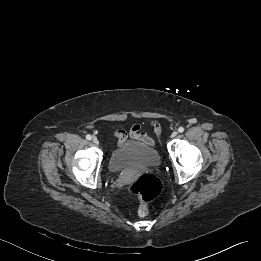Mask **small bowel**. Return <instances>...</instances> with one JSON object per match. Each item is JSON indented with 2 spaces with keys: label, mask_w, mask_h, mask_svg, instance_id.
Here are the masks:
<instances>
[{
  "label": "small bowel",
  "mask_w": 261,
  "mask_h": 261,
  "mask_svg": "<svg viewBox=\"0 0 261 261\" xmlns=\"http://www.w3.org/2000/svg\"><path fill=\"white\" fill-rule=\"evenodd\" d=\"M150 126L153 128L156 135H160L161 128L157 122L151 121ZM129 135L134 139H137L139 141H142V142L150 144V145H154V140L148 134H146L145 132H142L140 129V126L138 124H133L131 126ZM114 136L118 140L117 145L121 146L127 140L128 134L124 130H117V131H115Z\"/></svg>",
  "instance_id": "c3829d8e"
}]
</instances>
